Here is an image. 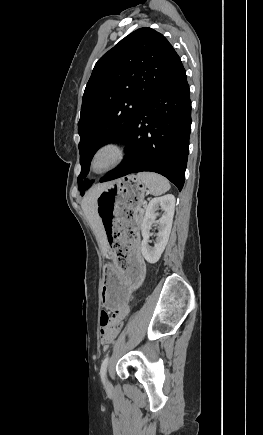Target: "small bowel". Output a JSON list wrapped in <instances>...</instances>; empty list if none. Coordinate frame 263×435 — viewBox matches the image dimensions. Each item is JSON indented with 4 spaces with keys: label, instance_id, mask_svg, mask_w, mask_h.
Here are the masks:
<instances>
[{
    "label": "small bowel",
    "instance_id": "small-bowel-1",
    "mask_svg": "<svg viewBox=\"0 0 263 435\" xmlns=\"http://www.w3.org/2000/svg\"><path fill=\"white\" fill-rule=\"evenodd\" d=\"M132 260H142L139 253L136 252L135 256H132ZM145 270V266L143 267ZM129 313L128 305H121L120 310H113L112 322L106 321L104 328L107 330L108 335H111L112 339L115 338L119 332L118 321H123Z\"/></svg>",
    "mask_w": 263,
    "mask_h": 435
}]
</instances>
